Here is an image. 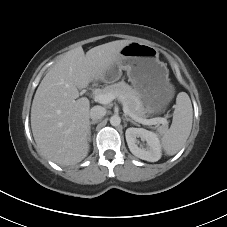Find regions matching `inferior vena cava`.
<instances>
[{
  "label": "inferior vena cava",
  "instance_id": "602c4592",
  "mask_svg": "<svg viewBox=\"0 0 227 227\" xmlns=\"http://www.w3.org/2000/svg\"><path fill=\"white\" fill-rule=\"evenodd\" d=\"M106 114V109L102 106H94L90 110V117L92 120H98L104 117Z\"/></svg>",
  "mask_w": 227,
  "mask_h": 227
}]
</instances>
